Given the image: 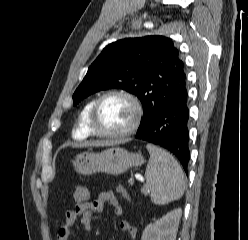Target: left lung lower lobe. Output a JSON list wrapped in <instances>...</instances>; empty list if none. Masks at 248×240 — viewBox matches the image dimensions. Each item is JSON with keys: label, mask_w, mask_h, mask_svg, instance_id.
Segmentation results:
<instances>
[{"label": "left lung lower lobe", "mask_w": 248, "mask_h": 240, "mask_svg": "<svg viewBox=\"0 0 248 240\" xmlns=\"http://www.w3.org/2000/svg\"><path fill=\"white\" fill-rule=\"evenodd\" d=\"M135 138L172 152L187 172L189 151V107L187 90L170 100Z\"/></svg>", "instance_id": "left-lung-lower-lobe-1"}]
</instances>
